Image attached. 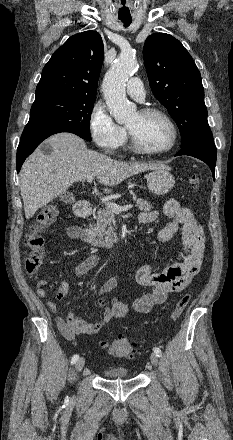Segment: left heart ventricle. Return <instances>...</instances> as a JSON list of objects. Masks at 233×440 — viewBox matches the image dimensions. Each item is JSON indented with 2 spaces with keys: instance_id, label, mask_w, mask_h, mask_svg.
<instances>
[{
  "instance_id": "left-heart-ventricle-1",
  "label": "left heart ventricle",
  "mask_w": 233,
  "mask_h": 440,
  "mask_svg": "<svg viewBox=\"0 0 233 440\" xmlns=\"http://www.w3.org/2000/svg\"><path fill=\"white\" fill-rule=\"evenodd\" d=\"M126 126L136 135L140 143L150 150L163 149L172 139L170 126L158 115L145 116L137 112Z\"/></svg>"
}]
</instances>
